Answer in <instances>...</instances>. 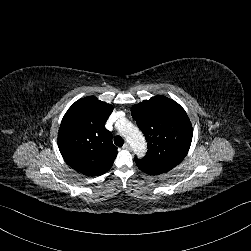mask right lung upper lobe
<instances>
[{
	"instance_id": "cb5924a9",
	"label": "right lung upper lobe",
	"mask_w": 251,
	"mask_h": 251,
	"mask_svg": "<svg viewBox=\"0 0 251 251\" xmlns=\"http://www.w3.org/2000/svg\"><path fill=\"white\" fill-rule=\"evenodd\" d=\"M112 111V105L89 96L76 101L64 115L58 147L75 171L99 176L111 168L118 152L105 123Z\"/></svg>"
}]
</instances>
